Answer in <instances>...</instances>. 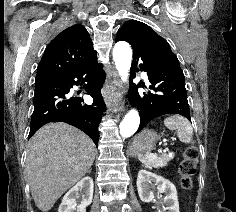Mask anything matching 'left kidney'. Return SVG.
Returning a JSON list of instances; mask_svg holds the SVG:
<instances>
[{"label": "left kidney", "mask_w": 236, "mask_h": 212, "mask_svg": "<svg viewBox=\"0 0 236 212\" xmlns=\"http://www.w3.org/2000/svg\"><path fill=\"white\" fill-rule=\"evenodd\" d=\"M155 186H157L158 192L165 193V207H163V210L167 212H179L177 190L174 184L152 172L140 170L137 177V190L143 202L154 200L153 188Z\"/></svg>", "instance_id": "5707ae66"}]
</instances>
